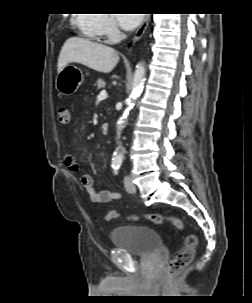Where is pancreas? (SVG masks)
I'll return each instance as SVG.
<instances>
[{
    "instance_id": "cf45deb5",
    "label": "pancreas",
    "mask_w": 252,
    "mask_h": 303,
    "mask_svg": "<svg viewBox=\"0 0 252 303\" xmlns=\"http://www.w3.org/2000/svg\"><path fill=\"white\" fill-rule=\"evenodd\" d=\"M95 85H96L97 89H102V88L105 87L106 83H105V81L103 79H98L96 81Z\"/></svg>"
}]
</instances>
